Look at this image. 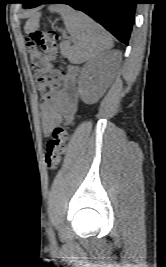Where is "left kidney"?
Here are the masks:
<instances>
[{
    "mask_svg": "<svg viewBox=\"0 0 166 267\" xmlns=\"http://www.w3.org/2000/svg\"><path fill=\"white\" fill-rule=\"evenodd\" d=\"M110 83L108 55L91 59L82 69L78 92L85 104L96 103L104 94Z\"/></svg>",
    "mask_w": 166,
    "mask_h": 267,
    "instance_id": "left-kidney-1",
    "label": "left kidney"
}]
</instances>
